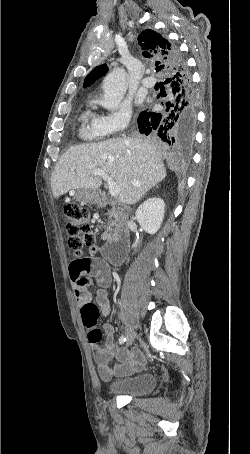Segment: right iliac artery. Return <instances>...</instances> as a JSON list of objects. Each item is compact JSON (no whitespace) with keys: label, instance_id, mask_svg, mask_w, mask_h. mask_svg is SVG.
Returning <instances> with one entry per match:
<instances>
[{"label":"right iliac artery","instance_id":"right-iliac-artery-1","mask_svg":"<svg viewBox=\"0 0 250 454\" xmlns=\"http://www.w3.org/2000/svg\"><path fill=\"white\" fill-rule=\"evenodd\" d=\"M126 341V337L122 335L119 339V344H123Z\"/></svg>","mask_w":250,"mask_h":454}]
</instances>
